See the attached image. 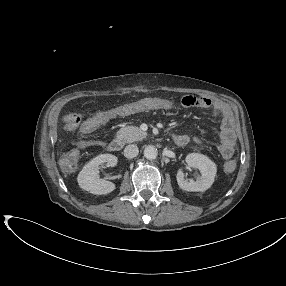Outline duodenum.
Wrapping results in <instances>:
<instances>
[{
    "instance_id": "1",
    "label": "duodenum",
    "mask_w": 286,
    "mask_h": 286,
    "mask_svg": "<svg viewBox=\"0 0 286 286\" xmlns=\"http://www.w3.org/2000/svg\"><path fill=\"white\" fill-rule=\"evenodd\" d=\"M177 138L174 136L173 141L175 142L176 145L181 146L183 144V141L181 139L176 140ZM123 147V141L120 138H115L112 139L109 142L108 148L112 152H119Z\"/></svg>"
}]
</instances>
